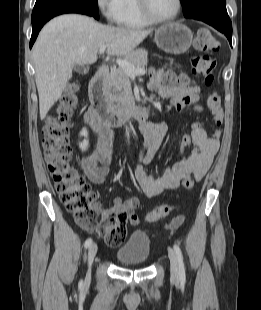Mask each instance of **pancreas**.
I'll return each instance as SVG.
<instances>
[{
    "instance_id": "cf45deb5",
    "label": "pancreas",
    "mask_w": 261,
    "mask_h": 310,
    "mask_svg": "<svg viewBox=\"0 0 261 310\" xmlns=\"http://www.w3.org/2000/svg\"><path fill=\"white\" fill-rule=\"evenodd\" d=\"M126 60L135 68H144L147 65V51L139 49L126 55ZM110 97L119 103H132L134 100L131 82L128 74L121 68H113L107 77Z\"/></svg>"
}]
</instances>
